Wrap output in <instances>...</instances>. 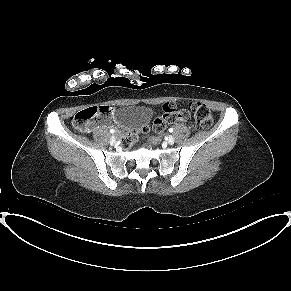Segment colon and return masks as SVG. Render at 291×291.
Masks as SVG:
<instances>
[{
	"label": "colon",
	"mask_w": 291,
	"mask_h": 291,
	"mask_svg": "<svg viewBox=\"0 0 291 291\" xmlns=\"http://www.w3.org/2000/svg\"><path fill=\"white\" fill-rule=\"evenodd\" d=\"M189 112L193 113L197 122L205 129L213 124V117L209 108L202 103L192 102L189 104ZM115 111L110 106H91L77 112L73 119L74 127L81 131L87 132L95 125L108 123L113 117ZM177 113V107L174 103H166L162 107L161 115L155 119L152 128L157 132H162L166 124L174 121ZM150 125L146 124L140 128V132L146 133L150 130ZM138 132L129 133L126 143L130 144L137 138Z\"/></svg>",
	"instance_id": "obj_1"
}]
</instances>
